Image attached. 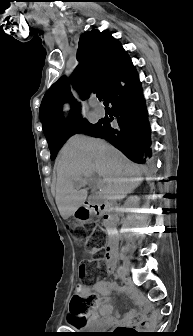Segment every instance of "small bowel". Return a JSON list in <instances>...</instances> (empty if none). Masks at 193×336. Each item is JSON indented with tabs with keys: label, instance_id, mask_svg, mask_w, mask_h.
I'll list each match as a JSON object with an SVG mask.
<instances>
[{
	"label": "small bowel",
	"instance_id": "small-bowel-1",
	"mask_svg": "<svg viewBox=\"0 0 193 336\" xmlns=\"http://www.w3.org/2000/svg\"><path fill=\"white\" fill-rule=\"evenodd\" d=\"M115 268L114 264H110L107 262V270L108 272H112ZM111 291V285L103 279L96 281L92 286H83L79 288L78 293L82 296L89 295L91 293H96L102 296L103 298L98 302L97 309L92 312L89 318H80L74 317V325L77 327H82L84 324L92 321H98L99 318L103 320L105 325H111L115 322L113 317V306L108 301V297ZM129 296L136 301H139L140 297L137 293L130 291ZM124 323L132 324L134 326H146L151 323V319L146 316H139L135 314L127 315L124 320Z\"/></svg>",
	"mask_w": 193,
	"mask_h": 336
}]
</instances>
